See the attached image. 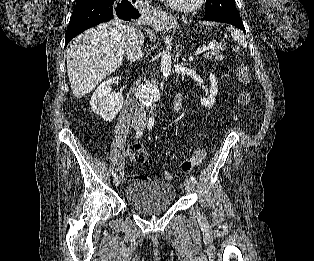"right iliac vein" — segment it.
Here are the masks:
<instances>
[{"instance_id":"right-iliac-vein-1","label":"right iliac vein","mask_w":314,"mask_h":261,"mask_svg":"<svg viewBox=\"0 0 314 261\" xmlns=\"http://www.w3.org/2000/svg\"><path fill=\"white\" fill-rule=\"evenodd\" d=\"M132 126H133L134 129H139L140 126H141V124H140L138 121H134V122L132 123ZM113 183H114L115 186H119L120 183H121L120 177H119V176H115V177L113 178Z\"/></svg>"}]
</instances>
